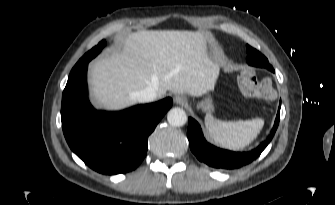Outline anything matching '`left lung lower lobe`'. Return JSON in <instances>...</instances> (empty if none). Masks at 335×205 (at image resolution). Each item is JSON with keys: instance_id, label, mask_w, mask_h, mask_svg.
I'll return each instance as SVG.
<instances>
[{"instance_id": "left-lung-lower-lobe-1", "label": "left lung lower lobe", "mask_w": 335, "mask_h": 205, "mask_svg": "<svg viewBox=\"0 0 335 205\" xmlns=\"http://www.w3.org/2000/svg\"><path fill=\"white\" fill-rule=\"evenodd\" d=\"M272 72H274V70H272ZM280 107L281 102L279 105L273 129L271 130V134L265 142H263L256 149L251 150L250 152H232L229 150L217 148L207 143V141L203 137L200 125L193 118L190 117L188 119L187 131L190 149L198 158V160L212 168L236 169L246 164H249L262 153V151L266 148V146L269 144L272 137L274 136L280 120Z\"/></svg>"}]
</instances>
